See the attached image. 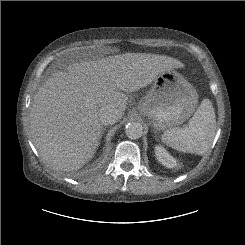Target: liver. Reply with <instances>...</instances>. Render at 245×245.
<instances>
[{"instance_id": "1", "label": "liver", "mask_w": 245, "mask_h": 245, "mask_svg": "<svg viewBox=\"0 0 245 245\" xmlns=\"http://www.w3.org/2000/svg\"><path fill=\"white\" fill-rule=\"evenodd\" d=\"M181 67L179 60L164 55L124 53L73 63L66 72L54 73L38 89L30 112L32 141L42 159L57 170L80 169L100 144V109L112 106L121 118L128 102L124 92Z\"/></svg>"}]
</instances>
